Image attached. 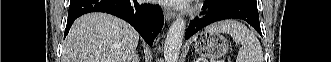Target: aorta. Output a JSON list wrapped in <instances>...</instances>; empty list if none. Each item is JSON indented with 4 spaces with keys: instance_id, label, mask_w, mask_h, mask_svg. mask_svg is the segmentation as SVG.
<instances>
[{
    "instance_id": "obj_1",
    "label": "aorta",
    "mask_w": 331,
    "mask_h": 62,
    "mask_svg": "<svg viewBox=\"0 0 331 62\" xmlns=\"http://www.w3.org/2000/svg\"><path fill=\"white\" fill-rule=\"evenodd\" d=\"M185 27L186 23L183 18L176 19L170 26L164 43L165 62H178Z\"/></svg>"
}]
</instances>
